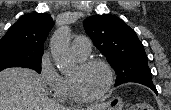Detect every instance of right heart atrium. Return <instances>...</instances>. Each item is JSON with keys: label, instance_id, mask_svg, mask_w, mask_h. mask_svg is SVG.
Listing matches in <instances>:
<instances>
[{"label": "right heart atrium", "instance_id": "right-heart-atrium-1", "mask_svg": "<svg viewBox=\"0 0 171 110\" xmlns=\"http://www.w3.org/2000/svg\"><path fill=\"white\" fill-rule=\"evenodd\" d=\"M39 77L50 93L54 95L58 88L61 76L52 64L49 53L43 54L40 60Z\"/></svg>", "mask_w": 171, "mask_h": 110}]
</instances>
